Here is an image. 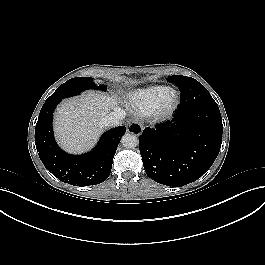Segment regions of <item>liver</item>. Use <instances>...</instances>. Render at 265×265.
<instances>
[{
	"instance_id": "obj_1",
	"label": "liver",
	"mask_w": 265,
	"mask_h": 265,
	"mask_svg": "<svg viewBox=\"0 0 265 265\" xmlns=\"http://www.w3.org/2000/svg\"><path fill=\"white\" fill-rule=\"evenodd\" d=\"M120 110L117 98L87 92L62 102L54 116V132L60 146L69 153L90 150L102 133L99 123L111 111Z\"/></svg>"
}]
</instances>
